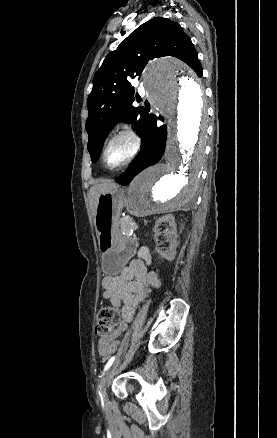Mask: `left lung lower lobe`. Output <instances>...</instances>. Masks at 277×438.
Returning <instances> with one entry per match:
<instances>
[{"mask_svg":"<svg viewBox=\"0 0 277 438\" xmlns=\"http://www.w3.org/2000/svg\"><path fill=\"white\" fill-rule=\"evenodd\" d=\"M159 119L163 120L161 116ZM156 120V116L152 115L150 117L149 131L145 135L146 145L142 155L116 179V182L119 184L128 185L138 173L156 164L163 157L167 139V128L165 125L157 127Z\"/></svg>","mask_w":277,"mask_h":438,"instance_id":"0a47b994","label":"left lung lower lobe"}]
</instances>
